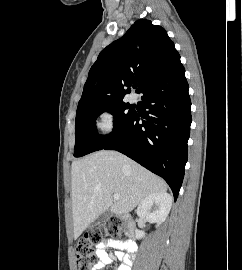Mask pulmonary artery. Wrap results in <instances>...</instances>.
Segmentation results:
<instances>
[{"label": "pulmonary artery", "mask_w": 242, "mask_h": 270, "mask_svg": "<svg viewBox=\"0 0 242 270\" xmlns=\"http://www.w3.org/2000/svg\"><path fill=\"white\" fill-rule=\"evenodd\" d=\"M130 100H131L132 102H134V101L136 100V96H135L134 94H131V95H130Z\"/></svg>", "instance_id": "pulmonary-artery-1"}]
</instances>
